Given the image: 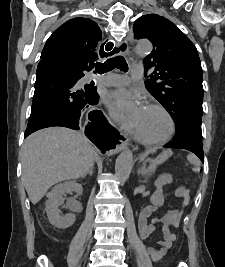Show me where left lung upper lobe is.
Returning <instances> with one entry per match:
<instances>
[{
  "mask_svg": "<svg viewBox=\"0 0 225 267\" xmlns=\"http://www.w3.org/2000/svg\"><path fill=\"white\" fill-rule=\"evenodd\" d=\"M135 38L149 39L152 52L145 57V81L149 93L169 112L176 132L192 115L202 116V68L195 45L171 21L157 14L138 18Z\"/></svg>",
  "mask_w": 225,
  "mask_h": 267,
  "instance_id": "5c2ea615",
  "label": "left lung upper lobe"
}]
</instances>
